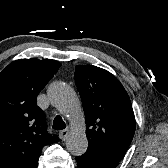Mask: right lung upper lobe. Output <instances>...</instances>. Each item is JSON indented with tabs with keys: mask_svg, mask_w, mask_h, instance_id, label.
<instances>
[{
	"mask_svg": "<svg viewBox=\"0 0 168 168\" xmlns=\"http://www.w3.org/2000/svg\"><path fill=\"white\" fill-rule=\"evenodd\" d=\"M55 60L20 59L0 73V168H37L47 132L36 98L60 67Z\"/></svg>",
	"mask_w": 168,
	"mask_h": 168,
	"instance_id": "cb5924a9",
	"label": "right lung upper lobe"
}]
</instances>
